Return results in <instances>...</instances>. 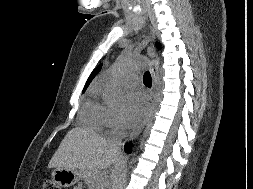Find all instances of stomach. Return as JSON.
<instances>
[{
  "label": "stomach",
  "mask_w": 253,
  "mask_h": 189,
  "mask_svg": "<svg viewBox=\"0 0 253 189\" xmlns=\"http://www.w3.org/2000/svg\"><path fill=\"white\" fill-rule=\"evenodd\" d=\"M81 177V172L73 169L55 168L52 172L53 181L64 188L76 184Z\"/></svg>",
  "instance_id": "0dacf381"
}]
</instances>
